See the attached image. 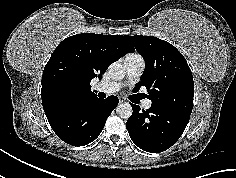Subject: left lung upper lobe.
Masks as SVG:
<instances>
[{"label":"left lung upper lobe","mask_w":236,"mask_h":178,"mask_svg":"<svg viewBox=\"0 0 236 178\" xmlns=\"http://www.w3.org/2000/svg\"><path fill=\"white\" fill-rule=\"evenodd\" d=\"M128 41L145 59L140 86H145L152 104L191 114L194 83L183 55L170 43L153 36H127Z\"/></svg>","instance_id":"5c2ea615"}]
</instances>
